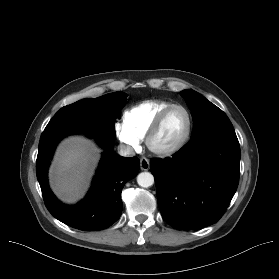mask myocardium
Listing matches in <instances>:
<instances>
[{
  "label": "myocardium",
  "mask_w": 279,
  "mask_h": 279,
  "mask_svg": "<svg viewBox=\"0 0 279 279\" xmlns=\"http://www.w3.org/2000/svg\"><path fill=\"white\" fill-rule=\"evenodd\" d=\"M175 109L183 110L186 115V118H187V127H186V130H185L183 136L180 138V140L177 143H175L172 146L164 147V148L155 146L154 139H155L157 133L159 132L164 120L166 119L167 115ZM192 129H193V119H192V115H191L190 111L188 110V108H186L185 106L180 105V104H172V105L168 106L167 108H165L164 110H162L159 113V115L156 117V119L153 121V123L150 126V128L147 132V135L145 137L146 145L152 153H154L158 156L173 155V154L179 152L188 143V141L190 140L191 134H192Z\"/></svg>",
  "instance_id": "obj_1"
}]
</instances>
